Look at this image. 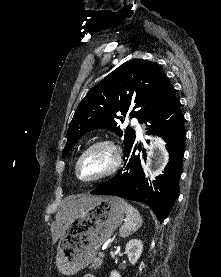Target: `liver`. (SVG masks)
Instances as JSON below:
<instances>
[{"instance_id":"obj_1","label":"liver","mask_w":221,"mask_h":277,"mask_svg":"<svg viewBox=\"0 0 221 277\" xmlns=\"http://www.w3.org/2000/svg\"><path fill=\"white\" fill-rule=\"evenodd\" d=\"M98 196H82L78 199L70 200L62 206L57 212L55 220L56 227L53 233V243L57 240L67 229L70 221L85 207L92 205L94 202L99 200Z\"/></svg>"}]
</instances>
